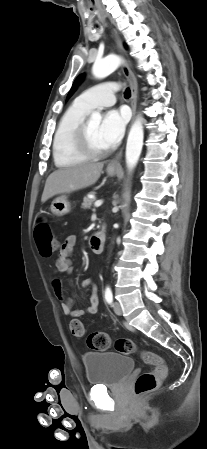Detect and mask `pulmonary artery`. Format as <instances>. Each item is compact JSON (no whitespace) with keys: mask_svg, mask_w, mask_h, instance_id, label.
Here are the masks:
<instances>
[{"mask_svg":"<svg viewBox=\"0 0 207 449\" xmlns=\"http://www.w3.org/2000/svg\"><path fill=\"white\" fill-rule=\"evenodd\" d=\"M119 89L120 86L115 82L99 83L81 93L75 99V103L90 111L97 108L109 107L115 103V93Z\"/></svg>","mask_w":207,"mask_h":449,"instance_id":"pulmonary-artery-1","label":"pulmonary artery"}]
</instances>
